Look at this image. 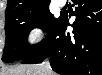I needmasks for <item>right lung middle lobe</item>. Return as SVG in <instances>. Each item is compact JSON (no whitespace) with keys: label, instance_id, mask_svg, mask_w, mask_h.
I'll use <instances>...</instances> for the list:
<instances>
[{"label":"right lung middle lobe","instance_id":"obj_1","mask_svg":"<svg viewBox=\"0 0 102 75\" xmlns=\"http://www.w3.org/2000/svg\"><path fill=\"white\" fill-rule=\"evenodd\" d=\"M5 18L6 40L2 61L8 63L24 59L41 45L60 19V17L55 18L51 14L49 4L35 10L6 15ZM35 27H40L47 34L43 41L37 45L29 46L27 36L30 30Z\"/></svg>","mask_w":102,"mask_h":75}]
</instances>
